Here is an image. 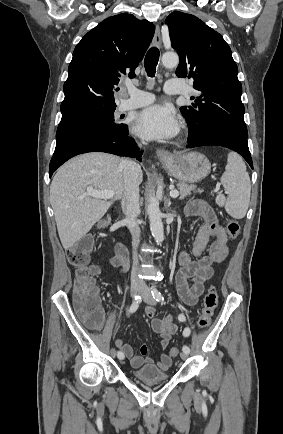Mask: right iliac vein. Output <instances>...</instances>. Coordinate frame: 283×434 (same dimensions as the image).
<instances>
[{
	"label": "right iliac vein",
	"instance_id": "right-iliac-vein-1",
	"mask_svg": "<svg viewBox=\"0 0 283 434\" xmlns=\"http://www.w3.org/2000/svg\"><path fill=\"white\" fill-rule=\"evenodd\" d=\"M139 289H140V283L138 281H133L131 284V290H130L131 296L135 297L137 292L139 291ZM110 354L112 357H115L116 356V350L114 348H112L110 350Z\"/></svg>",
	"mask_w": 283,
	"mask_h": 434
}]
</instances>
